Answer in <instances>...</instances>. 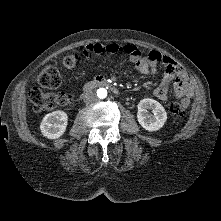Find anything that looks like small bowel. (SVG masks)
Instances as JSON below:
<instances>
[{"instance_id":"obj_1","label":"small bowel","mask_w":221,"mask_h":221,"mask_svg":"<svg viewBox=\"0 0 221 221\" xmlns=\"http://www.w3.org/2000/svg\"><path fill=\"white\" fill-rule=\"evenodd\" d=\"M124 54L128 56L136 71L145 75L156 73L158 65L165 67L164 76L160 85L153 90V94L161 101H167L168 86L173 82V95L177 98L189 99L193 95L191 82L183 69L169 56L158 51L143 54L133 44L120 43H90L82 47L81 54L88 58L93 54Z\"/></svg>"}]
</instances>
